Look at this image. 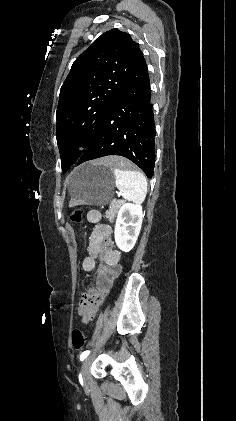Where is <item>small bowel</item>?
Wrapping results in <instances>:
<instances>
[{
    "mask_svg": "<svg viewBox=\"0 0 236 421\" xmlns=\"http://www.w3.org/2000/svg\"><path fill=\"white\" fill-rule=\"evenodd\" d=\"M88 221L96 224L94 231L91 235V245L90 249L92 251V256L94 250H96L97 244L101 240L108 239L112 234V229L109 225L101 224V213L96 210H92L87 215ZM79 314H83L82 307L78 309Z\"/></svg>",
    "mask_w": 236,
    "mask_h": 421,
    "instance_id": "c3829d8e",
    "label": "small bowel"
}]
</instances>
